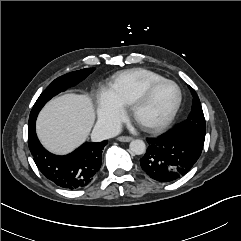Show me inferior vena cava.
I'll use <instances>...</instances> for the list:
<instances>
[{
  "label": "inferior vena cava",
  "mask_w": 241,
  "mask_h": 241,
  "mask_svg": "<svg viewBox=\"0 0 241 241\" xmlns=\"http://www.w3.org/2000/svg\"><path fill=\"white\" fill-rule=\"evenodd\" d=\"M122 131L118 123L97 122L93 128L91 139L93 142H100L119 135Z\"/></svg>",
  "instance_id": "obj_1"
}]
</instances>
